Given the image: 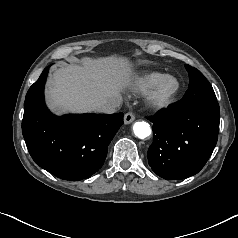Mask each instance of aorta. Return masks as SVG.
Returning <instances> with one entry per match:
<instances>
[{"mask_svg": "<svg viewBox=\"0 0 238 238\" xmlns=\"http://www.w3.org/2000/svg\"><path fill=\"white\" fill-rule=\"evenodd\" d=\"M133 132L138 138L145 139L151 135V127L145 121H137L133 124Z\"/></svg>", "mask_w": 238, "mask_h": 238, "instance_id": "1", "label": "aorta"}]
</instances>
